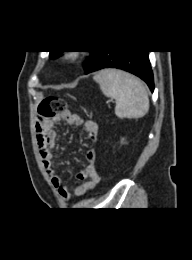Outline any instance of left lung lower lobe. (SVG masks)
Segmentation results:
<instances>
[{"label":"left lung lower lobe","instance_id":"1","mask_svg":"<svg viewBox=\"0 0 192 260\" xmlns=\"http://www.w3.org/2000/svg\"><path fill=\"white\" fill-rule=\"evenodd\" d=\"M103 68H118L133 73L144 80L151 91L154 90L153 73L149 62L148 51H98L86 69L85 74Z\"/></svg>","mask_w":192,"mask_h":260}]
</instances>
